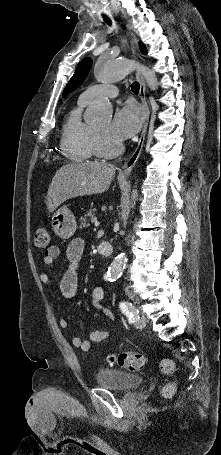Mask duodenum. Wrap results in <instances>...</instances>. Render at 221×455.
Returning <instances> with one entry per match:
<instances>
[{"instance_id": "obj_1", "label": "duodenum", "mask_w": 221, "mask_h": 455, "mask_svg": "<svg viewBox=\"0 0 221 455\" xmlns=\"http://www.w3.org/2000/svg\"><path fill=\"white\" fill-rule=\"evenodd\" d=\"M98 252L103 256H110L112 254V246L108 242H101L98 245Z\"/></svg>"}]
</instances>
